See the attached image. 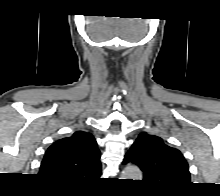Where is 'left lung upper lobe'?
Segmentation results:
<instances>
[{"label": "left lung upper lobe", "instance_id": "obj_1", "mask_svg": "<svg viewBox=\"0 0 220 196\" xmlns=\"http://www.w3.org/2000/svg\"><path fill=\"white\" fill-rule=\"evenodd\" d=\"M123 163L139 166L143 181L161 193H173L191 183L188 164L181 152L146 132L138 136Z\"/></svg>", "mask_w": 220, "mask_h": 196}]
</instances>
